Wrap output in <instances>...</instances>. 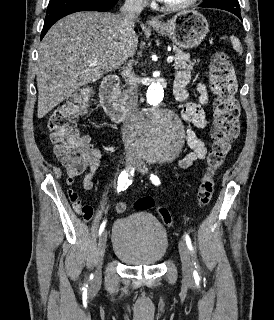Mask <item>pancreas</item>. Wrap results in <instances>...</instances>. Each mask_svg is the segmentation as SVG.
Listing matches in <instances>:
<instances>
[{"label": "pancreas", "mask_w": 274, "mask_h": 320, "mask_svg": "<svg viewBox=\"0 0 274 320\" xmlns=\"http://www.w3.org/2000/svg\"><path fill=\"white\" fill-rule=\"evenodd\" d=\"M173 52H175V64H173L175 70H193V66H195L196 62L190 60V54H186V52L179 50V48H175V46ZM118 98L122 104H126L128 100L127 90H125V92H120Z\"/></svg>", "instance_id": "cf45deb5"}]
</instances>
